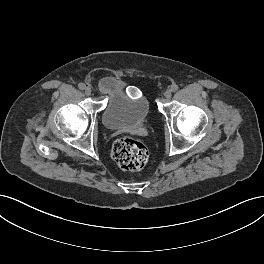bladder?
<instances>
[{
	"mask_svg": "<svg viewBox=\"0 0 264 264\" xmlns=\"http://www.w3.org/2000/svg\"><path fill=\"white\" fill-rule=\"evenodd\" d=\"M106 91V104L102 122L111 130L137 127L145 122L151 112L147 94L138 86L110 79L102 83Z\"/></svg>",
	"mask_w": 264,
	"mask_h": 264,
	"instance_id": "31cf9c89",
	"label": "bladder"
}]
</instances>
